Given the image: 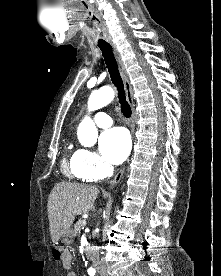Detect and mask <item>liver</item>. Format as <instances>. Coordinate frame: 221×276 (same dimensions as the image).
<instances>
[{
	"label": "liver",
	"mask_w": 221,
	"mask_h": 276,
	"mask_svg": "<svg viewBox=\"0 0 221 276\" xmlns=\"http://www.w3.org/2000/svg\"><path fill=\"white\" fill-rule=\"evenodd\" d=\"M98 192L93 185L63 182L54 186L47 204L50 235L54 243L71 229L77 215L93 208Z\"/></svg>",
	"instance_id": "liver-1"
}]
</instances>
